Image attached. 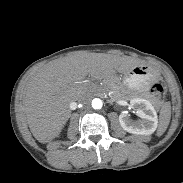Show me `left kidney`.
Listing matches in <instances>:
<instances>
[{"instance_id": "left-kidney-1", "label": "left kidney", "mask_w": 183, "mask_h": 183, "mask_svg": "<svg viewBox=\"0 0 183 183\" xmlns=\"http://www.w3.org/2000/svg\"><path fill=\"white\" fill-rule=\"evenodd\" d=\"M132 107L136 108L139 120L133 121L127 113L119 115L121 127L132 134L151 135L158 126L157 113L149 100L143 98H133L130 100Z\"/></svg>"}]
</instances>
